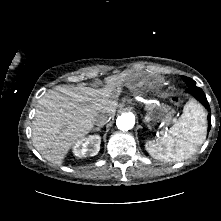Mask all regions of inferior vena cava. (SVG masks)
<instances>
[{
	"mask_svg": "<svg viewBox=\"0 0 221 221\" xmlns=\"http://www.w3.org/2000/svg\"><path fill=\"white\" fill-rule=\"evenodd\" d=\"M110 120V116L107 114H100L98 115L95 120H94V124L97 126H103L105 125L108 121Z\"/></svg>",
	"mask_w": 221,
	"mask_h": 221,
	"instance_id": "602c4592",
	"label": "inferior vena cava"
}]
</instances>
